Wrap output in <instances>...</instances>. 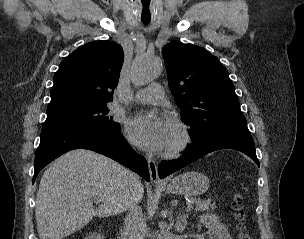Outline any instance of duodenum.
I'll return each mask as SVG.
<instances>
[{"instance_id":"obj_1","label":"duodenum","mask_w":304,"mask_h":239,"mask_svg":"<svg viewBox=\"0 0 304 239\" xmlns=\"http://www.w3.org/2000/svg\"><path fill=\"white\" fill-rule=\"evenodd\" d=\"M118 239H126L124 228H120L118 231Z\"/></svg>"}]
</instances>
